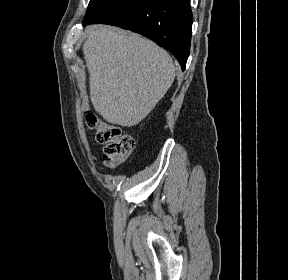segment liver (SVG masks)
Listing matches in <instances>:
<instances>
[{
  "instance_id": "liver-1",
  "label": "liver",
  "mask_w": 288,
  "mask_h": 280,
  "mask_svg": "<svg viewBox=\"0 0 288 280\" xmlns=\"http://www.w3.org/2000/svg\"><path fill=\"white\" fill-rule=\"evenodd\" d=\"M83 54L92 105L109 123L138 124L175 79L170 55L135 33L95 27L83 44Z\"/></svg>"
}]
</instances>
